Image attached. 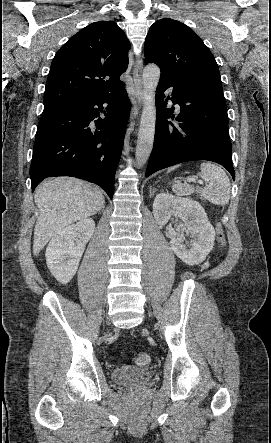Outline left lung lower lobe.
Instances as JSON below:
<instances>
[{"instance_id":"left-lung-lower-lobe-1","label":"left lung lower lobe","mask_w":271,"mask_h":443,"mask_svg":"<svg viewBox=\"0 0 271 443\" xmlns=\"http://www.w3.org/2000/svg\"><path fill=\"white\" fill-rule=\"evenodd\" d=\"M173 87L172 96L164 100V91ZM154 146L146 177L172 165L209 160L223 165L235 179L232 146L229 137L227 108L222 85L191 75L161 70L157 87ZM168 99L179 104L167 109ZM176 119L179 123L168 122Z\"/></svg>"}]
</instances>
